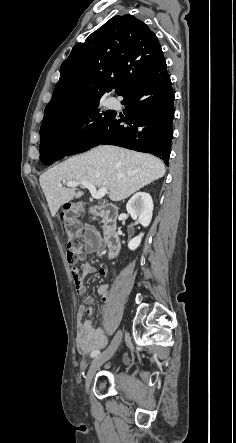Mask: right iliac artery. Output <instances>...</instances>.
Listing matches in <instances>:
<instances>
[{
  "mask_svg": "<svg viewBox=\"0 0 236 443\" xmlns=\"http://www.w3.org/2000/svg\"><path fill=\"white\" fill-rule=\"evenodd\" d=\"M99 353H100L99 350H94V351L91 353V357H96L97 355H99Z\"/></svg>",
  "mask_w": 236,
  "mask_h": 443,
  "instance_id": "82829eb1",
  "label": "right iliac artery"
}]
</instances>
